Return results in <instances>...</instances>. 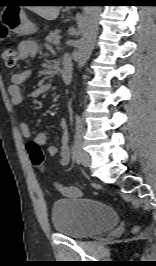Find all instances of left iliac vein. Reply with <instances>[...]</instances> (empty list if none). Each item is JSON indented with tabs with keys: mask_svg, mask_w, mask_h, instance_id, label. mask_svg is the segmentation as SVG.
Instances as JSON below:
<instances>
[{
	"mask_svg": "<svg viewBox=\"0 0 156 266\" xmlns=\"http://www.w3.org/2000/svg\"><path fill=\"white\" fill-rule=\"evenodd\" d=\"M79 160L84 167H90L92 162L91 156L83 150L80 152Z\"/></svg>",
	"mask_w": 156,
	"mask_h": 266,
	"instance_id": "obj_1",
	"label": "left iliac vein"
}]
</instances>
